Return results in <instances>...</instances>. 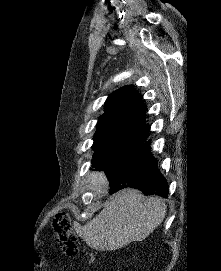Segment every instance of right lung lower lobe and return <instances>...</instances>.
Masks as SVG:
<instances>
[{
  "label": "right lung lower lobe",
  "instance_id": "obj_1",
  "mask_svg": "<svg viewBox=\"0 0 221 271\" xmlns=\"http://www.w3.org/2000/svg\"><path fill=\"white\" fill-rule=\"evenodd\" d=\"M149 145L150 141L143 142L126 159L105 170L111 187L109 193L132 187L139 189L145 195L168 197L167 181L160 173Z\"/></svg>",
  "mask_w": 221,
  "mask_h": 271
}]
</instances>
